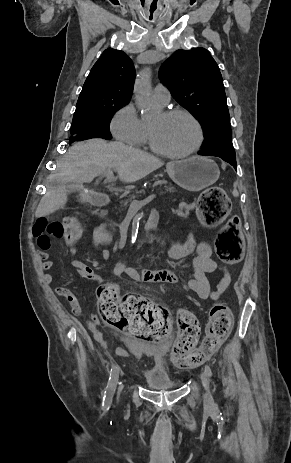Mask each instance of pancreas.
Wrapping results in <instances>:
<instances>
[{
    "label": "pancreas",
    "instance_id": "obj_1",
    "mask_svg": "<svg viewBox=\"0 0 291 463\" xmlns=\"http://www.w3.org/2000/svg\"><path fill=\"white\" fill-rule=\"evenodd\" d=\"M153 187H157L156 192H158L160 195H165L167 193L168 194H175V193L178 192L176 187H174L171 183H168L166 180H158V181H156L154 183ZM142 194H145L144 189H142L140 191H136L134 194H132L130 196V198L131 199L138 198V197L142 196Z\"/></svg>",
    "mask_w": 291,
    "mask_h": 463
}]
</instances>
